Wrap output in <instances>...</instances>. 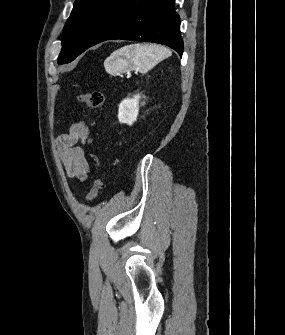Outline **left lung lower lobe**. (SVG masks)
Instances as JSON below:
<instances>
[{
  "instance_id": "obj_1",
  "label": "left lung lower lobe",
  "mask_w": 285,
  "mask_h": 335,
  "mask_svg": "<svg viewBox=\"0 0 285 335\" xmlns=\"http://www.w3.org/2000/svg\"><path fill=\"white\" fill-rule=\"evenodd\" d=\"M111 39L160 43L182 56L180 17L174 0H111L85 34L80 54Z\"/></svg>"
}]
</instances>
